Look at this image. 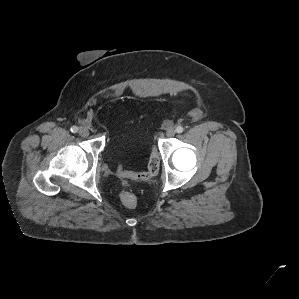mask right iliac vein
<instances>
[{
  "mask_svg": "<svg viewBox=\"0 0 299 299\" xmlns=\"http://www.w3.org/2000/svg\"><path fill=\"white\" fill-rule=\"evenodd\" d=\"M79 135L82 136V137H87V136L89 135V131H88V129H86V128H81V129L79 130Z\"/></svg>",
  "mask_w": 299,
  "mask_h": 299,
  "instance_id": "1",
  "label": "right iliac vein"
}]
</instances>
